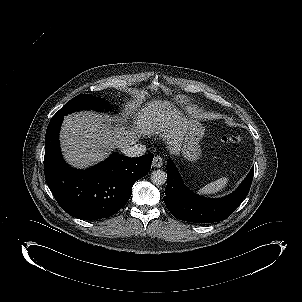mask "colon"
<instances>
[{
    "label": "colon",
    "instance_id": "5ec220e1",
    "mask_svg": "<svg viewBox=\"0 0 302 302\" xmlns=\"http://www.w3.org/2000/svg\"><path fill=\"white\" fill-rule=\"evenodd\" d=\"M223 144H236L240 141V136L237 134L224 135L220 138Z\"/></svg>",
    "mask_w": 302,
    "mask_h": 302
}]
</instances>
